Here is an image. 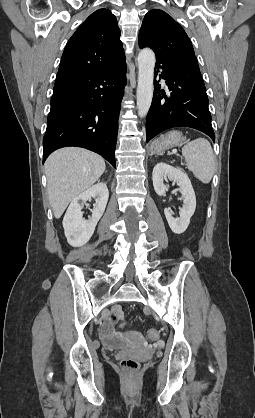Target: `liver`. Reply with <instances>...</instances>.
<instances>
[{
  "label": "liver",
  "instance_id": "obj_1",
  "mask_svg": "<svg viewBox=\"0 0 255 418\" xmlns=\"http://www.w3.org/2000/svg\"><path fill=\"white\" fill-rule=\"evenodd\" d=\"M104 171V159L86 149L66 147L52 153L45 162V173L55 218H60L68 204L91 187Z\"/></svg>",
  "mask_w": 255,
  "mask_h": 418
}]
</instances>
